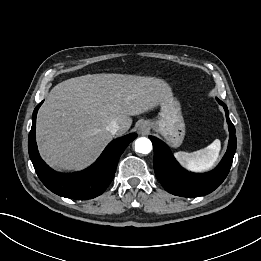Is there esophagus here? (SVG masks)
Here are the masks:
<instances>
[{
  "instance_id": "1",
  "label": "esophagus",
  "mask_w": 261,
  "mask_h": 261,
  "mask_svg": "<svg viewBox=\"0 0 261 261\" xmlns=\"http://www.w3.org/2000/svg\"><path fill=\"white\" fill-rule=\"evenodd\" d=\"M149 129H150V127H149V124L147 122H142L138 126V131L140 133H147L149 131Z\"/></svg>"
}]
</instances>
